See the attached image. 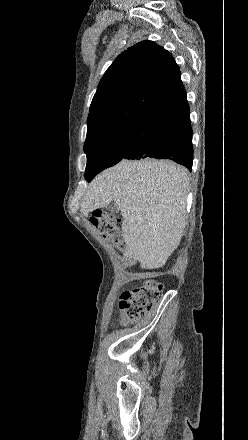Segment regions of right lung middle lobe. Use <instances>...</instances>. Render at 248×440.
Listing matches in <instances>:
<instances>
[{"label":"right lung middle lobe","mask_w":248,"mask_h":440,"mask_svg":"<svg viewBox=\"0 0 248 440\" xmlns=\"http://www.w3.org/2000/svg\"><path fill=\"white\" fill-rule=\"evenodd\" d=\"M129 140L128 130H122L84 148L87 155L86 180L91 181L97 173L120 162L127 150Z\"/></svg>","instance_id":"obj_1"}]
</instances>
